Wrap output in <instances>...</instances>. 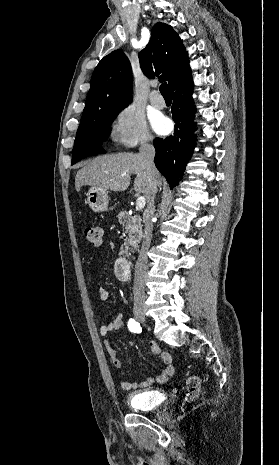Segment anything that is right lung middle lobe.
Here are the masks:
<instances>
[{"label": "right lung middle lobe", "mask_w": 279, "mask_h": 465, "mask_svg": "<svg viewBox=\"0 0 279 465\" xmlns=\"http://www.w3.org/2000/svg\"><path fill=\"white\" fill-rule=\"evenodd\" d=\"M120 111L104 110L94 121L79 126L72 151V165L85 157L104 152L101 149L102 142L106 141L110 125Z\"/></svg>", "instance_id": "dd1d6c3e"}]
</instances>
